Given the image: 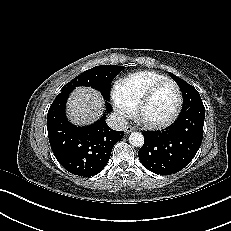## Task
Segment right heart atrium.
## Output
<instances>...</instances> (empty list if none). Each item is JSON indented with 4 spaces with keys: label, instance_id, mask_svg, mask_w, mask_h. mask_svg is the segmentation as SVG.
<instances>
[{
    "label": "right heart atrium",
    "instance_id": "obj_1",
    "mask_svg": "<svg viewBox=\"0 0 231 231\" xmlns=\"http://www.w3.org/2000/svg\"><path fill=\"white\" fill-rule=\"evenodd\" d=\"M114 105L116 109V114L120 119H125L130 114V108L122 103L116 96L115 92L113 94Z\"/></svg>",
    "mask_w": 231,
    "mask_h": 231
}]
</instances>
